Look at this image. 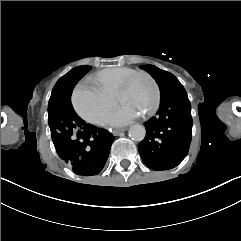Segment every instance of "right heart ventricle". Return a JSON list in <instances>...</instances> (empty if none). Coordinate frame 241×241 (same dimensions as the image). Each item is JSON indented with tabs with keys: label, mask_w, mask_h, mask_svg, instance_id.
Here are the masks:
<instances>
[{
	"label": "right heart ventricle",
	"mask_w": 241,
	"mask_h": 241,
	"mask_svg": "<svg viewBox=\"0 0 241 241\" xmlns=\"http://www.w3.org/2000/svg\"><path fill=\"white\" fill-rule=\"evenodd\" d=\"M133 71V69L127 67L111 66L94 75L88 76L81 85H85L89 88L91 84H94L100 88L102 93L107 92L111 94L112 91L119 88L122 77ZM105 98L107 97L105 96Z\"/></svg>",
	"instance_id": "obj_1"
}]
</instances>
